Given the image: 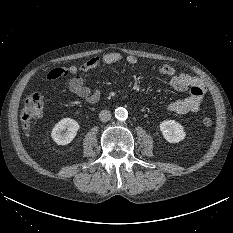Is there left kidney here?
Wrapping results in <instances>:
<instances>
[{
	"instance_id": "left-kidney-1",
	"label": "left kidney",
	"mask_w": 233,
	"mask_h": 233,
	"mask_svg": "<svg viewBox=\"0 0 233 233\" xmlns=\"http://www.w3.org/2000/svg\"><path fill=\"white\" fill-rule=\"evenodd\" d=\"M159 127L163 137L169 143L180 142L186 136L184 127L175 120H165L160 123Z\"/></svg>"
}]
</instances>
